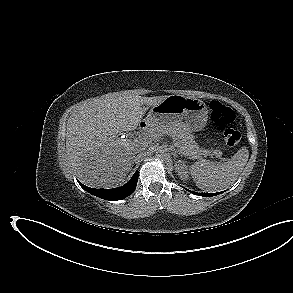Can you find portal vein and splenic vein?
I'll list each match as a JSON object with an SVG mask.
<instances>
[{
    "mask_svg": "<svg viewBox=\"0 0 293 293\" xmlns=\"http://www.w3.org/2000/svg\"><path fill=\"white\" fill-rule=\"evenodd\" d=\"M212 155H216V154H210L211 157H212Z\"/></svg>",
    "mask_w": 293,
    "mask_h": 293,
    "instance_id": "obj_1",
    "label": "portal vein and splenic vein"
}]
</instances>
